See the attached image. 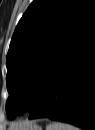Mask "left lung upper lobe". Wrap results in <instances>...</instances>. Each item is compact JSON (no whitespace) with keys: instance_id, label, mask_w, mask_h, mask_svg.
I'll return each mask as SVG.
<instances>
[{"instance_id":"1","label":"left lung upper lobe","mask_w":95,"mask_h":130,"mask_svg":"<svg viewBox=\"0 0 95 130\" xmlns=\"http://www.w3.org/2000/svg\"><path fill=\"white\" fill-rule=\"evenodd\" d=\"M91 0H34L19 21L7 54L8 118L31 110L53 67L64 56L87 19Z\"/></svg>"}]
</instances>
